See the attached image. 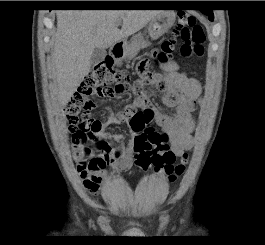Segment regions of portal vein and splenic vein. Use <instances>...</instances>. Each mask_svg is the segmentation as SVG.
I'll return each mask as SVG.
<instances>
[{"label": "portal vein and splenic vein", "instance_id": "portal-vein-and-splenic-vein-1", "mask_svg": "<svg viewBox=\"0 0 265 245\" xmlns=\"http://www.w3.org/2000/svg\"><path fill=\"white\" fill-rule=\"evenodd\" d=\"M116 24H117V26L121 25V21H117Z\"/></svg>", "mask_w": 265, "mask_h": 245}]
</instances>
